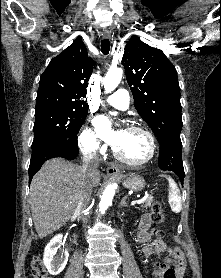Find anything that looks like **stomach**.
I'll return each instance as SVG.
<instances>
[{"instance_id":"obj_1","label":"stomach","mask_w":221,"mask_h":278,"mask_svg":"<svg viewBox=\"0 0 221 278\" xmlns=\"http://www.w3.org/2000/svg\"><path fill=\"white\" fill-rule=\"evenodd\" d=\"M120 179L123 181V186L129 190L139 192L143 190L145 186V181L142 177L139 175H133L131 177L125 178L120 177Z\"/></svg>"}]
</instances>
